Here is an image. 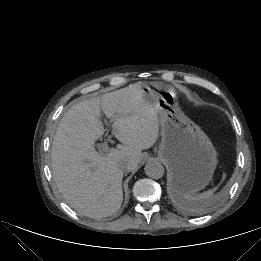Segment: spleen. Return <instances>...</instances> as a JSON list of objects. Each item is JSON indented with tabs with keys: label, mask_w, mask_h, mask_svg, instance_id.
<instances>
[{
	"label": "spleen",
	"mask_w": 261,
	"mask_h": 261,
	"mask_svg": "<svg viewBox=\"0 0 261 261\" xmlns=\"http://www.w3.org/2000/svg\"><path fill=\"white\" fill-rule=\"evenodd\" d=\"M217 188H214V190H208L206 192H203L201 194H182L175 196V199L184 207L191 211H197L199 210L203 203L208 200L212 195L213 192Z\"/></svg>",
	"instance_id": "spleen-1"
}]
</instances>
